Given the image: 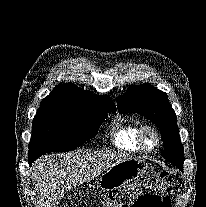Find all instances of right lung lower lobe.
Listing matches in <instances>:
<instances>
[{"label": "right lung lower lobe", "instance_id": "98d812e1", "mask_svg": "<svg viewBox=\"0 0 206 207\" xmlns=\"http://www.w3.org/2000/svg\"><path fill=\"white\" fill-rule=\"evenodd\" d=\"M36 158H38V157L37 156H33V157L28 156V163H29V165H31Z\"/></svg>", "mask_w": 206, "mask_h": 207}]
</instances>
